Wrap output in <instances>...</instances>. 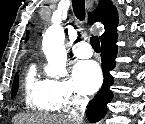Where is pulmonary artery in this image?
<instances>
[{
	"instance_id": "obj_1",
	"label": "pulmonary artery",
	"mask_w": 145,
	"mask_h": 124,
	"mask_svg": "<svg viewBox=\"0 0 145 124\" xmlns=\"http://www.w3.org/2000/svg\"><path fill=\"white\" fill-rule=\"evenodd\" d=\"M74 55L78 58H90L93 54L91 46L85 42H77L73 47Z\"/></svg>"
}]
</instances>
